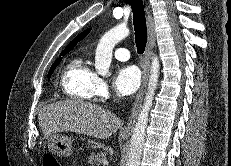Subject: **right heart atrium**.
I'll use <instances>...</instances> for the list:
<instances>
[{"label": "right heart atrium", "instance_id": "d8ad5b80", "mask_svg": "<svg viewBox=\"0 0 231 166\" xmlns=\"http://www.w3.org/2000/svg\"><path fill=\"white\" fill-rule=\"evenodd\" d=\"M110 94V87L106 80L96 75L94 86H93V96L99 98H107Z\"/></svg>", "mask_w": 231, "mask_h": 166}]
</instances>
